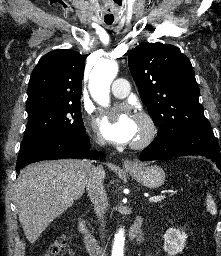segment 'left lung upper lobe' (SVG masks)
<instances>
[{
	"label": "left lung upper lobe",
	"mask_w": 221,
	"mask_h": 256,
	"mask_svg": "<svg viewBox=\"0 0 221 256\" xmlns=\"http://www.w3.org/2000/svg\"><path fill=\"white\" fill-rule=\"evenodd\" d=\"M128 66L158 134L177 126L208 123L199 103L191 62L176 46L148 43L134 48Z\"/></svg>",
	"instance_id": "1"
}]
</instances>
